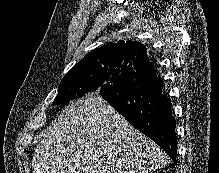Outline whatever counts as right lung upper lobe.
<instances>
[{"label": "right lung upper lobe", "mask_w": 219, "mask_h": 173, "mask_svg": "<svg viewBox=\"0 0 219 173\" xmlns=\"http://www.w3.org/2000/svg\"><path fill=\"white\" fill-rule=\"evenodd\" d=\"M147 53L146 47L136 41L122 40L117 43H108L85 55L69 72L79 71L86 66H101L111 61L130 65L135 70L149 62Z\"/></svg>", "instance_id": "1"}]
</instances>
